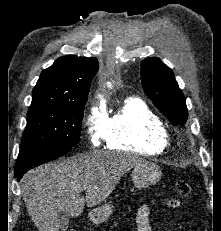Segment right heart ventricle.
<instances>
[{
  "label": "right heart ventricle",
  "instance_id": "right-heart-ventricle-1",
  "mask_svg": "<svg viewBox=\"0 0 221 231\" xmlns=\"http://www.w3.org/2000/svg\"><path fill=\"white\" fill-rule=\"evenodd\" d=\"M167 130L162 119L141 99H126L108 118V149L158 155L166 148Z\"/></svg>",
  "mask_w": 221,
  "mask_h": 231
}]
</instances>
